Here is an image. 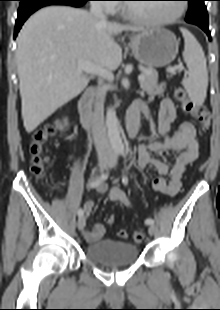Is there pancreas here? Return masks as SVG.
<instances>
[{
  "instance_id": "pancreas-1",
  "label": "pancreas",
  "mask_w": 220,
  "mask_h": 310,
  "mask_svg": "<svg viewBox=\"0 0 220 310\" xmlns=\"http://www.w3.org/2000/svg\"><path fill=\"white\" fill-rule=\"evenodd\" d=\"M145 79L140 82L142 91L149 96L163 95L165 91V83L158 85V72L153 68H146L144 71Z\"/></svg>"
}]
</instances>
